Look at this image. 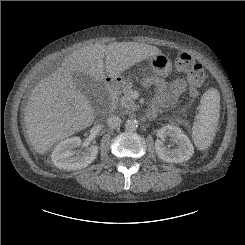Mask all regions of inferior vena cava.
I'll return each mask as SVG.
<instances>
[{
    "label": "inferior vena cava",
    "mask_w": 245,
    "mask_h": 245,
    "mask_svg": "<svg viewBox=\"0 0 245 245\" xmlns=\"http://www.w3.org/2000/svg\"><path fill=\"white\" fill-rule=\"evenodd\" d=\"M107 122L110 128H118L121 125V119L116 115L109 117Z\"/></svg>",
    "instance_id": "obj_1"
}]
</instances>
